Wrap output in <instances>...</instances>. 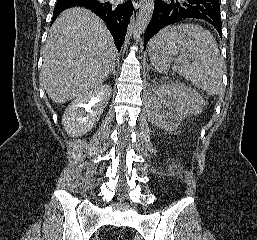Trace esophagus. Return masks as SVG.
<instances>
[{
  "label": "esophagus",
  "mask_w": 257,
  "mask_h": 240,
  "mask_svg": "<svg viewBox=\"0 0 257 240\" xmlns=\"http://www.w3.org/2000/svg\"><path fill=\"white\" fill-rule=\"evenodd\" d=\"M142 3H143V0H133V6L135 9H138Z\"/></svg>",
  "instance_id": "esophagus-1"
}]
</instances>
